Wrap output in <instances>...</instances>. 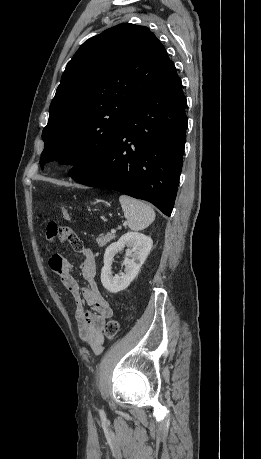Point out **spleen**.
<instances>
[{
    "label": "spleen",
    "mask_w": 261,
    "mask_h": 459,
    "mask_svg": "<svg viewBox=\"0 0 261 459\" xmlns=\"http://www.w3.org/2000/svg\"><path fill=\"white\" fill-rule=\"evenodd\" d=\"M119 202L131 230H143L154 221L156 214L150 205L127 195H121Z\"/></svg>",
    "instance_id": "obj_1"
}]
</instances>
